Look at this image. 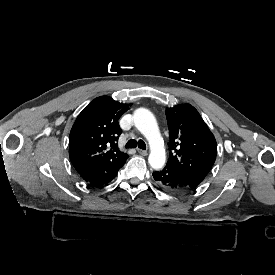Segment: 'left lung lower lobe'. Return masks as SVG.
Returning <instances> with one entry per match:
<instances>
[{"mask_svg":"<svg viewBox=\"0 0 275 275\" xmlns=\"http://www.w3.org/2000/svg\"><path fill=\"white\" fill-rule=\"evenodd\" d=\"M152 175L154 177V180L158 183V185L169 192L181 194L192 189L171 168L165 167L161 171L153 172Z\"/></svg>","mask_w":275,"mask_h":275,"instance_id":"left-lung-lower-lobe-1","label":"left lung lower lobe"}]
</instances>
